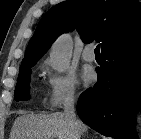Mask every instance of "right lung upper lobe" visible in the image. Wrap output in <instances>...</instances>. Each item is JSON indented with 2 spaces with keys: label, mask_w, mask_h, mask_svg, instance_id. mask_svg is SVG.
<instances>
[{
  "label": "right lung upper lobe",
  "mask_w": 141,
  "mask_h": 139,
  "mask_svg": "<svg viewBox=\"0 0 141 139\" xmlns=\"http://www.w3.org/2000/svg\"><path fill=\"white\" fill-rule=\"evenodd\" d=\"M77 28L84 43L102 42V51L141 33L138 0H67L40 20L21 67L35 65L62 33Z\"/></svg>",
  "instance_id": "1"
}]
</instances>
